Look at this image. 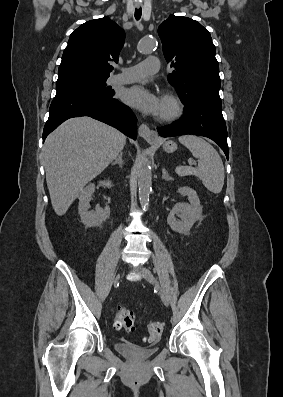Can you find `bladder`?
I'll return each mask as SVG.
<instances>
[{
    "label": "bladder",
    "instance_id": "31cf9c89",
    "mask_svg": "<svg viewBox=\"0 0 283 397\" xmlns=\"http://www.w3.org/2000/svg\"><path fill=\"white\" fill-rule=\"evenodd\" d=\"M115 349L129 357L146 359L156 353V347H142L129 341H119L115 344Z\"/></svg>",
    "mask_w": 283,
    "mask_h": 397
}]
</instances>
